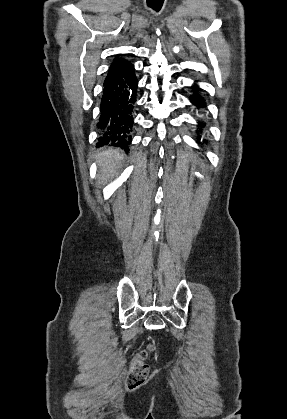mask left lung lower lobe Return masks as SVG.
I'll use <instances>...</instances> for the list:
<instances>
[{"label":"left lung lower lobe","instance_id":"left-lung-lower-lobe-1","mask_svg":"<svg viewBox=\"0 0 287 419\" xmlns=\"http://www.w3.org/2000/svg\"><path fill=\"white\" fill-rule=\"evenodd\" d=\"M192 89L194 90V96L191 97V102L196 105L197 107H204L205 102L203 98L197 94V91L200 90L197 86H193ZM205 124L199 123V126L203 127ZM201 132V129L199 130ZM198 132V134H199ZM198 143H200V137H198Z\"/></svg>","mask_w":287,"mask_h":419}]
</instances>
